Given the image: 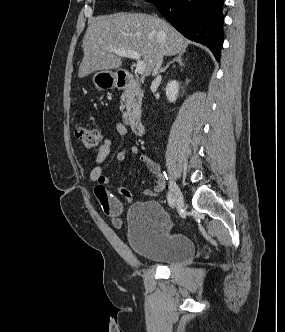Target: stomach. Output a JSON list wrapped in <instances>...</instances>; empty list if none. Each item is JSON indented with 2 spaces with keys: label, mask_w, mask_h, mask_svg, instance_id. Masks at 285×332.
Wrapping results in <instances>:
<instances>
[{
  "label": "stomach",
  "mask_w": 285,
  "mask_h": 332,
  "mask_svg": "<svg viewBox=\"0 0 285 332\" xmlns=\"http://www.w3.org/2000/svg\"><path fill=\"white\" fill-rule=\"evenodd\" d=\"M92 82L99 90L117 87L118 74L107 70L96 72L92 77Z\"/></svg>",
  "instance_id": "obj_1"
}]
</instances>
